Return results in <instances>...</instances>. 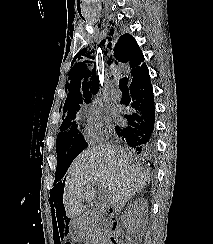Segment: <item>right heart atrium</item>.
I'll return each instance as SVG.
<instances>
[{
    "mask_svg": "<svg viewBox=\"0 0 213 244\" xmlns=\"http://www.w3.org/2000/svg\"><path fill=\"white\" fill-rule=\"evenodd\" d=\"M82 131L89 141L104 139L110 132L104 111L97 103L85 107L81 115Z\"/></svg>",
    "mask_w": 213,
    "mask_h": 244,
    "instance_id": "obj_1",
    "label": "right heart atrium"
}]
</instances>
